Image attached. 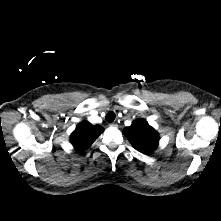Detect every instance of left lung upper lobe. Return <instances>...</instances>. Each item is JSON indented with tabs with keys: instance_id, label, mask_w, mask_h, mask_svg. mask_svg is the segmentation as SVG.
<instances>
[{
	"instance_id": "obj_1",
	"label": "left lung upper lobe",
	"mask_w": 221,
	"mask_h": 221,
	"mask_svg": "<svg viewBox=\"0 0 221 221\" xmlns=\"http://www.w3.org/2000/svg\"><path fill=\"white\" fill-rule=\"evenodd\" d=\"M132 146L141 153L151 154L159 143V135L144 119L135 120L123 130Z\"/></svg>"
}]
</instances>
